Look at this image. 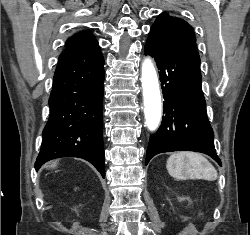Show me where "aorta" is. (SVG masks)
Here are the masks:
<instances>
[{
	"label": "aorta",
	"mask_w": 250,
	"mask_h": 235,
	"mask_svg": "<svg viewBox=\"0 0 250 235\" xmlns=\"http://www.w3.org/2000/svg\"><path fill=\"white\" fill-rule=\"evenodd\" d=\"M142 89L144 98L145 124L150 131L157 129L161 120V96L155 68L150 58L142 64Z\"/></svg>",
	"instance_id": "aorta-1"
}]
</instances>
